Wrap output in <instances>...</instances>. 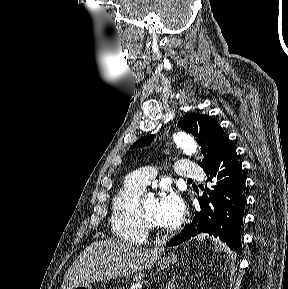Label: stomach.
<instances>
[{"label":"stomach","instance_id":"1","mask_svg":"<svg viewBox=\"0 0 288 289\" xmlns=\"http://www.w3.org/2000/svg\"><path fill=\"white\" fill-rule=\"evenodd\" d=\"M178 260L177 255L174 253L164 256L158 261V266L161 270L168 269L171 265H174ZM75 289H92L90 284H83L75 287Z\"/></svg>","mask_w":288,"mask_h":289}]
</instances>
